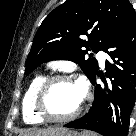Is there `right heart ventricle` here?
I'll list each match as a JSON object with an SVG mask.
<instances>
[{
	"mask_svg": "<svg viewBox=\"0 0 136 136\" xmlns=\"http://www.w3.org/2000/svg\"><path fill=\"white\" fill-rule=\"evenodd\" d=\"M45 79L44 75H36L29 82L22 99L23 119L27 124H41L43 120L36 114L33 106L35 94Z\"/></svg>",
	"mask_w": 136,
	"mask_h": 136,
	"instance_id": "right-heart-ventricle-1",
	"label": "right heart ventricle"
}]
</instances>
